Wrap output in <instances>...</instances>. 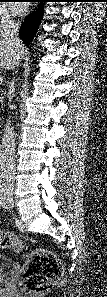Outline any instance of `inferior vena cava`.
Masks as SVG:
<instances>
[{
    "instance_id": "obj_1",
    "label": "inferior vena cava",
    "mask_w": 107,
    "mask_h": 297,
    "mask_svg": "<svg viewBox=\"0 0 107 297\" xmlns=\"http://www.w3.org/2000/svg\"><path fill=\"white\" fill-rule=\"evenodd\" d=\"M19 22L5 16L0 25V35L6 37L11 44H20L18 36ZM14 84V83H13ZM1 144V171L7 180L11 181L15 170V133L8 119Z\"/></svg>"
}]
</instances>
